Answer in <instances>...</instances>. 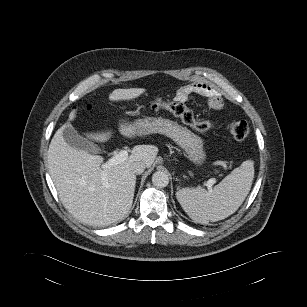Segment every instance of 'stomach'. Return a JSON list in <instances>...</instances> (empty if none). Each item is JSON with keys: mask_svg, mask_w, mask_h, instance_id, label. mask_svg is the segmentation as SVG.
Segmentation results:
<instances>
[{"mask_svg": "<svg viewBox=\"0 0 307 307\" xmlns=\"http://www.w3.org/2000/svg\"><path fill=\"white\" fill-rule=\"evenodd\" d=\"M132 125L136 128L137 135L140 136L160 133L172 138L197 167H201L205 163L206 152L203 140L178 123L162 117H147L136 120Z\"/></svg>", "mask_w": 307, "mask_h": 307, "instance_id": "stomach-1", "label": "stomach"}]
</instances>
